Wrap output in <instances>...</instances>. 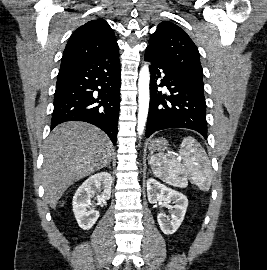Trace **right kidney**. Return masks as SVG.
I'll return each mask as SVG.
<instances>
[{
    "mask_svg": "<svg viewBox=\"0 0 267 270\" xmlns=\"http://www.w3.org/2000/svg\"><path fill=\"white\" fill-rule=\"evenodd\" d=\"M112 186V176L108 172H100L90 176L77 189L73 197V212L78 225L83 230H89L99 218V212L91 208V198L95 196L96 191L98 202L110 199ZM87 208L90 210L87 211Z\"/></svg>",
    "mask_w": 267,
    "mask_h": 270,
    "instance_id": "ca27d5eb",
    "label": "right kidney"
}]
</instances>
